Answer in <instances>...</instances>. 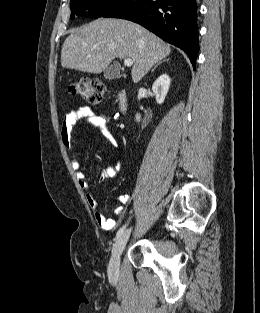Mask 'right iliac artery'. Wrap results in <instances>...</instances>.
<instances>
[{
    "mask_svg": "<svg viewBox=\"0 0 260 313\" xmlns=\"http://www.w3.org/2000/svg\"><path fill=\"white\" fill-rule=\"evenodd\" d=\"M125 228H126V224L119 229V231L116 234V238H118L119 236H121L123 234Z\"/></svg>",
    "mask_w": 260,
    "mask_h": 313,
    "instance_id": "right-iliac-artery-1",
    "label": "right iliac artery"
}]
</instances>
